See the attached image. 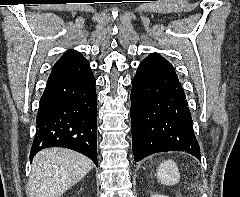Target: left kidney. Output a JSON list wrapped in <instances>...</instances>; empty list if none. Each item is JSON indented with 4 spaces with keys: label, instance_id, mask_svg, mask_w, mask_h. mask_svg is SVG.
I'll list each match as a JSON object with an SVG mask.
<instances>
[{
    "label": "left kidney",
    "instance_id": "obj_1",
    "mask_svg": "<svg viewBox=\"0 0 240 197\" xmlns=\"http://www.w3.org/2000/svg\"><path fill=\"white\" fill-rule=\"evenodd\" d=\"M151 197H169V196H166V195H160V194H154V195H152Z\"/></svg>",
    "mask_w": 240,
    "mask_h": 197
}]
</instances>
